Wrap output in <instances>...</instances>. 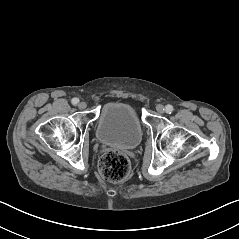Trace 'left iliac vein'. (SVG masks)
I'll return each mask as SVG.
<instances>
[{
	"instance_id": "1",
	"label": "left iliac vein",
	"mask_w": 239,
	"mask_h": 239,
	"mask_svg": "<svg viewBox=\"0 0 239 239\" xmlns=\"http://www.w3.org/2000/svg\"><path fill=\"white\" fill-rule=\"evenodd\" d=\"M156 110L158 113L163 114L165 112V107L162 104H158Z\"/></svg>"
}]
</instances>
